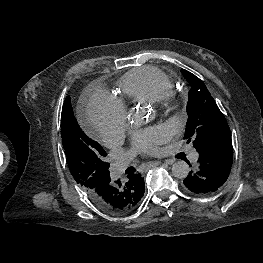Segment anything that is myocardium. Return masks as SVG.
<instances>
[{
	"label": "myocardium",
	"instance_id": "obj_1",
	"mask_svg": "<svg viewBox=\"0 0 263 263\" xmlns=\"http://www.w3.org/2000/svg\"><path fill=\"white\" fill-rule=\"evenodd\" d=\"M153 104L165 108H173L176 104L175 97L172 93L163 95L161 98L153 102Z\"/></svg>",
	"mask_w": 263,
	"mask_h": 263
}]
</instances>
